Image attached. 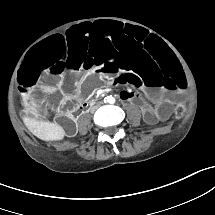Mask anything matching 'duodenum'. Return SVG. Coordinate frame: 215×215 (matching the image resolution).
I'll return each instance as SVG.
<instances>
[{
    "mask_svg": "<svg viewBox=\"0 0 215 215\" xmlns=\"http://www.w3.org/2000/svg\"><path fill=\"white\" fill-rule=\"evenodd\" d=\"M95 104H96V100L93 99V100L86 103V107H90V106L95 105Z\"/></svg>",
    "mask_w": 215,
    "mask_h": 215,
    "instance_id": "duodenum-1",
    "label": "duodenum"
}]
</instances>
